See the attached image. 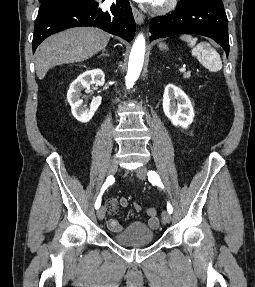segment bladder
Instances as JSON below:
<instances>
[{
  "label": "bladder",
  "instance_id": "1",
  "mask_svg": "<svg viewBox=\"0 0 255 287\" xmlns=\"http://www.w3.org/2000/svg\"><path fill=\"white\" fill-rule=\"evenodd\" d=\"M112 237L115 242L122 245H145L153 242L155 231L144 222L134 221L113 233Z\"/></svg>",
  "mask_w": 255,
  "mask_h": 287
}]
</instances>
